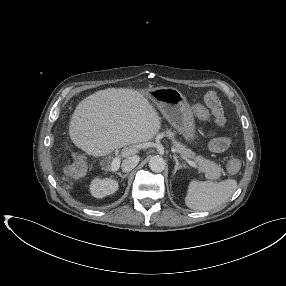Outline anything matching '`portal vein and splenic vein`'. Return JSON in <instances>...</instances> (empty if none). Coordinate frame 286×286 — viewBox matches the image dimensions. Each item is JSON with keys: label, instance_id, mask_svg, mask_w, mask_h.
Masks as SVG:
<instances>
[{"label": "portal vein and splenic vein", "instance_id": "18ae733b", "mask_svg": "<svg viewBox=\"0 0 286 286\" xmlns=\"http://www.w3.org/2000/svg\"><path fill=\"white\" fill-rule=\"evenodd\" d=\"M182 158L192 167H197V164L190 160L188 157L182 155ZM119 165H120V158L119 157H116L114 158V160L112 161V164H111V169L113 171H116L118 168H119Z\"/></svg>", "mask_w": 286, "mask_h": 286}]
</instances>
